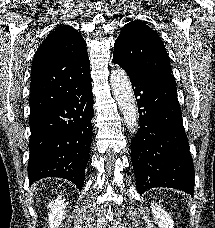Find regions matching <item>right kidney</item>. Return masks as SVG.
<instances>
[{
	"label": "right kidney",
	"mask_w": 215,
	"mask_h": 228,
	"mask_svg": "<svg viewBox=\"0 0 215 228\" xmlns=\"http://www.w3.org/2000/svg\"><path fill=\"white\" fill-rule=\"evenodd\" d=\"M66 202L62 196H57L56 200L49 202L48 226L49 228H61L63 220L66 218Z\"/></svg>",
	"instance_id": "right-kidney-1"
}]
</instances>
